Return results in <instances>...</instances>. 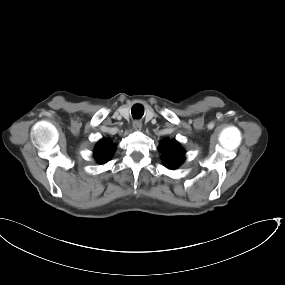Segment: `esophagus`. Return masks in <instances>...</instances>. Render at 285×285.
Wrapping results in <instances>:
<instances>
[{
    "mask_svg": "<svg viewBox=\"0 0 285 285\" xmlns=\"http://www.w3.org/2000/svg\"><path fill=\"white\" fill-rule=\"evenodd\" d=\"M133 128L135 131H140L142 128V122L140 120H135L133 122Z\"/></svg>",
    "mask_w": 285,
    "mask_h": 285,
    "instance_id": "esophagus-1",
    "label": "esophagus"
}]
</instances>
